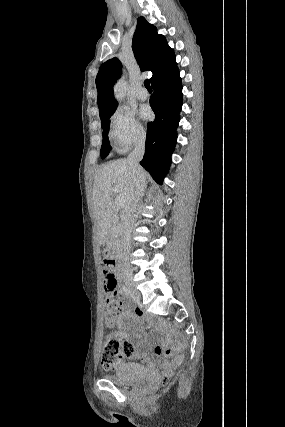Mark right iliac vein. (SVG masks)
Masks as SVG:
<instances>
[{"instance_id": "right-iliac-vein-1", "label": "right iliac vein", "mask_w": 285, "mask_h": 427, "mask_svg": "<svg viewBox=\"0 0 285 427\" xmlns=\"http://www.w3.org/2000/svg\"><path fill=\"white\" fill-rule=\"evenodd\" d=\"M126 285L128 287V289L131 291V293L137 298L140 299V293L134 288L132 281L131 280H127L126 281Z\"/></svg>"}]
</instances>
